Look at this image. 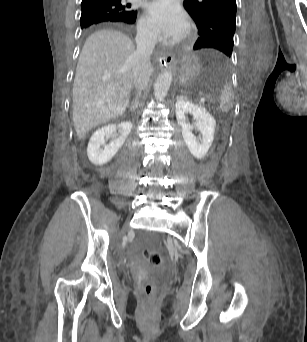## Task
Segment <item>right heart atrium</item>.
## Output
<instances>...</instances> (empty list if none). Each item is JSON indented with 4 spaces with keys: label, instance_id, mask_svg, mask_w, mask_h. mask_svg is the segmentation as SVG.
<instances>
[{
    "label": "right heart atrium",
    "instance_id": "obj_1",
    "mask_svg": "<svg viewBox=\"0 0 307 342\" xmlns=\"http://www.w3.org/2000/svg\"><path fill=\"white\" fill-rule=\"evenodd\" d=\"M138 32L141 35H151L152 34V31H151L149 25L146 24L145 22H141L139 24Z\"/></svg>",
    "mask_w": 307,
    "mask_h": 342
}]
</instances>
